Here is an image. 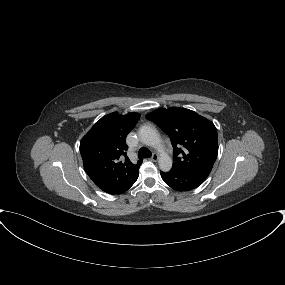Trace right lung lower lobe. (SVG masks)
I'll list each match as a JSON object with an SVG mask.
<instances>
[{
  "label": "right lung lower lobe",
  "mask_w": 285,
  "mask_h": 285,
  "mask_svg": "<svg viewBox=\"0 0 285 285\" xmlns=\"http://www.w3.org/2000/svg\"><path fill=\"white\" fill-rule=\"evenodd\" d=\"M134 183H135V182H134ZM134 183H133V184H134ZM133 184H132V185H133ZM132 185H130V186H129V187H127L125 190H123V191H121V192H118V193H116V194H121V193H123V192L127 191V190L132 186Z\"/></svg>",
  "instance_id": "right-lung-lower-lobe-1"
}]
</instances>
